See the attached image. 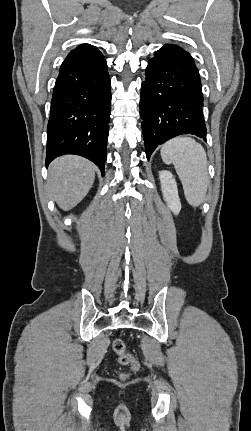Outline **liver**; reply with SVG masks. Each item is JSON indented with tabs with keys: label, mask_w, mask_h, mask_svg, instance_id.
Returning a JSON list of instances; mask_svg holds the SVG:
<instances>
[{
	"label": "liver",
	"mask_w": 251,
	"mask_h": 431,
	"mask_svg": "<svg viewBox=\"0 0 251 431\" xmlns=\"http://www.w3.org/2000/svg\"><path fill=\"white\" fill-rule=\"evenodd\" d=\"M96 166L75 155L55 159L49 166L48 188L58 206L68 211L89 192L95 179Z\"/></svg>",
	"instance_id": "1"
}]
</instances>
